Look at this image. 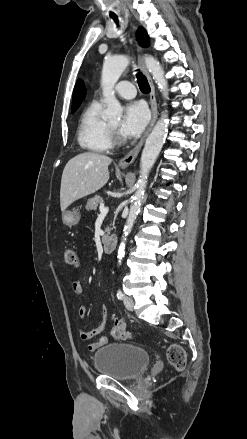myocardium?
I'll return each instance as SVG.
<instances>
[{"label":"myocardium","instance_id":"myocardium-1","mask_svg":"<svg viewBox=\"0 0 247 439\" xmlns=\"http://www.w3.org/2000/svg\"><path fill=\"white\" fill-rule=\"evenodd\" d=\"M108 127H109V132H110L112 143L113 144H120L121 140L119 139V137L116 133V128H114L111 124H108Z\"/></svg>","mask_w":247,"mask_h":439}]
</instances>
